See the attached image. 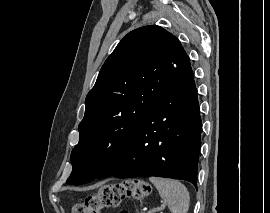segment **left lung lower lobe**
Returning <instances> with one entry per match:
<instances>
[{
	"instance_id": "0a47b994",
	"label": "left lung lower lobe",
	"mask_w": 270,
	"mask_h": 213,
	"mask_svg": "<svg viewBox=\"0 0 270 213\" xmlns=\"http://www.w3.org/2000/svg\"><path fill=\"white\" fill-rule=\"evenodd\" d=\"M201 117L191 67L185 69L96 178L158 176L197 186Z\"/></svg>"
}]
</instances>
